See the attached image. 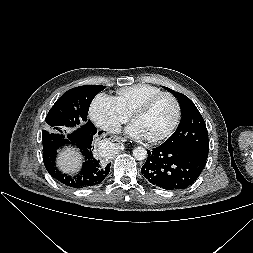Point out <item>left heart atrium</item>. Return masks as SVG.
<instances>
[{
	"mask_svg": "<svg viewBox=\"0 0 253 253\" xmlns=\"http://www.w3.org/2000/svg\"><path fill=\"white\" fill-rule=\"evenodd\" d=\"M126 133L135 139H145L148 138L144 131L136 124L132 123L127 129Z\"/></svg>",
	"mask_w": 253,
	"mask_h": 253,
	"instance_id": "1",
	"label": "left heart atrium"
}]
</instances>
